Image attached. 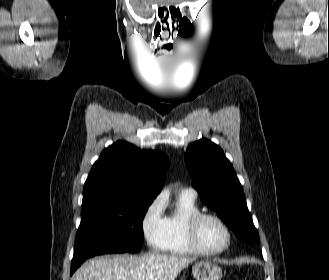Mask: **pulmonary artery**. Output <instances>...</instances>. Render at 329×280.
Masks as SVG:
<instances>
[{"instance_id":"e3ab8cb5","label":"pulmonary artery","mask_w":329,"mask_h":280,"mask_svg":"<svg viewBox=\"0 0 329 280\" xmlns=\"http://www.w3.org/2000/svg\"><path fill=\"white\" fill-rule=\"evenodd\" d=\"M183 191L189 193L190 195H192V196H194V197H196V195H197L196 190L193 189V188H191V187H189V188H185V189H183Z\"/></svg>"}]
</instances>
